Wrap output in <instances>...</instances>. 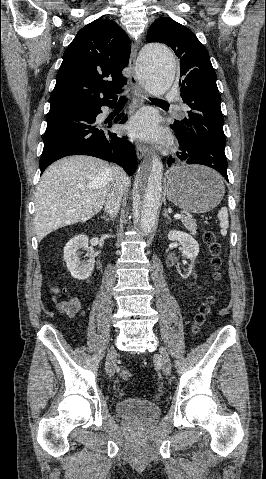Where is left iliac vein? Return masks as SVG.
Listing matches in <instances>:
<instances>
[{
  "label": "left iliac vein",
  "instance_id": "1",
  "mask_svg": "<svg viewBox=\"0 0 266 479\" xmlns=\"http://www.w3.org/2000/svg\"><path fill=\"white\" fill-rule=\"evenodd\" d=\"M158 357L160 358V361H161V364H162V370H163L164 374L169 375L170 370H171V363H170V359H169L168 354L166 353V351L161 350L158 353Z\"/></svg>",
  "mask_w": 266,
  "mask_h": 479
}]
</instances>
